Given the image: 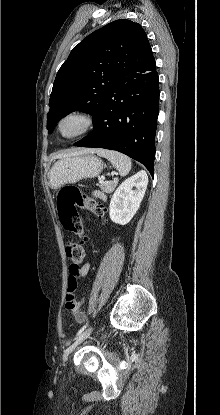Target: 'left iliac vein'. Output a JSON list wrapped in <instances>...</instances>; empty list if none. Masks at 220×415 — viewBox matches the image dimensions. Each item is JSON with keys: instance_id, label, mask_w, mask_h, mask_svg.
Masks as SVG:
<instances>
[{"instance_id": "4c4485c4", "label": "left iliac vein", "mask_w": 220, "mask_h": 415, "mask_svg": "<svg viewBox=\"0 0 220 415\" xmlns=\"http://www.w3.org/2000/svg\"><path fill=\"white\" fill-rule=\"evenodd\" d=\"M92 330H93V327H89L81 335H79V337L75 340V342L65 351L64 356H63L64 361L67 360L69 354L73 352L79 344H81L86 338L89 337Z\"/></svg>"}]
</instances>
